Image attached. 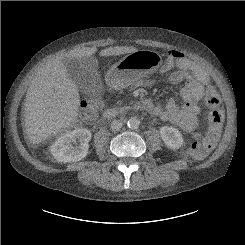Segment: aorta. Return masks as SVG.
Segmentation results:
<instances>
[{
	"mask_svg": "<svg viewBox=\"0 0 245 245\" xmlns=\"http://www.w3.org/2000/svg\"><path fill=\"white\" fill-rule=\"evenodd\" d=\"M127 125L129 128L136 129L139 127L140 121L136 117H131V118H129Z\"/></svg>",
	"mask_w": 245,
	"mask_h": 245,
	"instance_id": "aorta-1",
	"label": "aorta"
}]
</instances>
